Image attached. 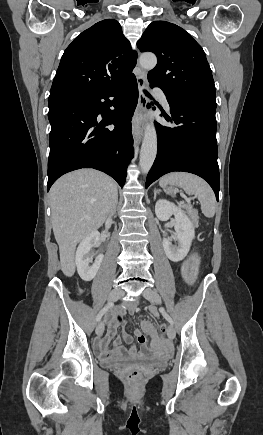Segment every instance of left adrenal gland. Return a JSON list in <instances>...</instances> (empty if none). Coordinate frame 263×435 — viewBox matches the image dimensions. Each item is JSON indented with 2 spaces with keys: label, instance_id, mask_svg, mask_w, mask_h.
I'll use <instances>...</instances> for the list:
<instances>
[{
  "label": "left adrenal gland",
  "instance_id": "1",
  "mask_svg": "<svg viewBox=\"0 0 263 435\" xmlns=\"http://www.w3.org/2000/svg\"><path fill=\"white\" fill-rule=\"evenodd\" d=\"M159 193L157 189H154V200L156 199V195Z\"/></svg>",
  "mask_w": 263,
  "mask_h": 435
}]
</instances>
